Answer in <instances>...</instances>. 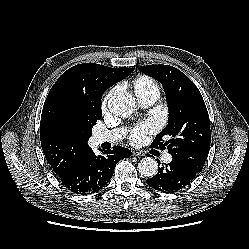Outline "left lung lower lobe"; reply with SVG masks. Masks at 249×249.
<instances>
[{
  "label": "left lung lower lobe",
  "mask_w": 249,
  "mask_h": 249,
  "mask_svg": "<svg viewBox=\"0 0 249 249\" xmlns=\"http://www.w3.org/2000/svg\"><path fill=\"white\" fill-rule=\"evenodd\" d=\"M157 162L159 166L160 162ZM196 175L197 173L189 170L177 160L172 159L169 164L159 167L158 173L146 180V182L155 190L172 193L185 188Z\"/></svg>",
  "instance_id": "0a47b994"
}]
</instances>
